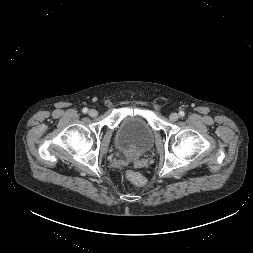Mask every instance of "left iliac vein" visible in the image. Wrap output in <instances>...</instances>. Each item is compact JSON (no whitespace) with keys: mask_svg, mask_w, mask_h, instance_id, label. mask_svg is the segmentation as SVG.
Returning a JSON list of instances; mask_svg holds the SVG:
<instances>
[{"mask_svg":"<svg viewBox=\"0 0 253 253\" xmlns=\"http://www.w3.org/2000/svg\"><path fill=\"white\" fill-rule=\"evenodd\" d=\"M169 119L171 121H177L179 119V115L177 113H171Z\"/></svg>","mask_w":253,"mask_h":253,"instance_id":"obj_1","label":"left iliac vein"}]
</instances>
